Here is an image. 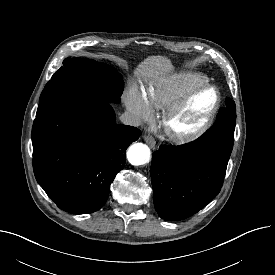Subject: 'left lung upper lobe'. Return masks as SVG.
<instances>
[{
	"label": "left lung upper lobe",
	"instance_id": "1",
	"mask_svg": "<svg viewBox=\"0 0 275 275\" xmlns=\"http://www.w3.org/2000/svg\"><path fill=\"white\" fill-rule=\"evenodd\" d=\"M225 108L227 109L225 118L221 121H216V122H219L223 125H228V126H231V127L235 128V122H236L235 103L230 98H228L226 100V107Z\"/></svg>",
	"mask_w": 275,
	"mask_h": 275
}]
</instances>
